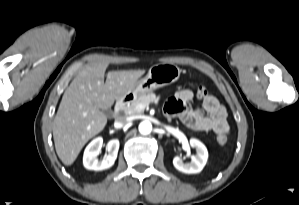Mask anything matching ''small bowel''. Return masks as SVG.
<instances>
[{"instance_id":"c3829d8e","label":"small bowel","mask_w":299,"mask_h":205,"mask_svg":"<svg viewBox=\"0 0 299 205\" xmlns=\"http://www.w3.org/2000/svg\"><path fill=\"white\" fill-rule=\"evenodd\" d=\"M194 94L189 89L176 92L165 104V112L170 116L180 118L183 124L196 131H213L216 134L228 133L227 113L218 99L207 95L202 99L200 108L189 107Z\"/></svg>"}]
</instances>
